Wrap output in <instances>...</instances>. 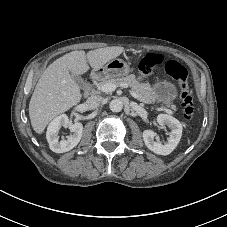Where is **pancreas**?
Returning <instances> with one entry per match:
<instances>
[{
    "label": "pancreas",
    "mask_w": 227,
    "mask_h": 227,
    "mask_svg": "<svg viewBox=\"0 0 227 227\" xmlns=\"http://www.w3.org/2000/svg\"><path fill=\"white\" fill-rule=\"evenodd\" d=\"M99 81V84L108 82L117 86L125 83L131 87L132 93L135 94V97L139 101L152 102L150 85L148 83L140 82L134 74L127 75L126 77L100 78ZM172 107L175 108L174 105H172Z\"/></svg>",
    "instance_id": "pancreas-1"
}]
</instances>
